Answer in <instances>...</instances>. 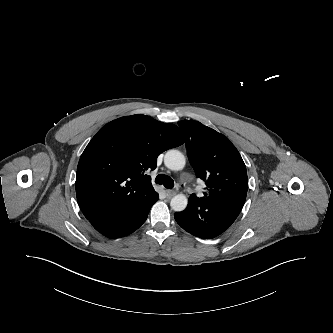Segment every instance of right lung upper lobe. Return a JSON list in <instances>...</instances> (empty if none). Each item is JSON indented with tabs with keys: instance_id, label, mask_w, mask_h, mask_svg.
<instances>
[{
	"instance_id": "right-lung-upper-lobe-1",
	"label": "right lung upper lobe",
	"mask_w": 333,
	"mask_h": 333,
	"mask_svg": "<svg viewBox=\"0 0 333 333\" xmlns=\"http://www.w3.org/2000/svg\"><path fill=\"white\" fill-rule=\"evenodd\" d=\"M183 143L177 126L145 115L121 117L102 127L77 167L76 195L85 217L125 214L156 200L147 172L156 168L162 152Z\"/></svg>"
}]
</instances>
